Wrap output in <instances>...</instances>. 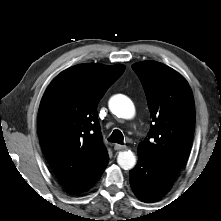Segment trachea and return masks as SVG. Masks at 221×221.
Segmentation results:
<instances>
[{
  "label": "trachea",
  "instance_id": "trachea-1",
  "mask_svg": "<svg viewBox=\"0 0 221 221\" xmlns=\"http://www.w3.org/2000/svg\"><path fill=\"white\" fill-rule=\"evenodd\" d=\"M108 140L109 142L118 143L121 145L124 143V137L120 130H114Z\"/></svg>",
  "mask_w": 221,
  "mask_h": 221
}]
</instances>
